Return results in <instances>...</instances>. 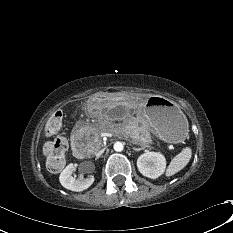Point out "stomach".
<instances>
[{"instance_id":"stomach-1","label":"stomach","mask_w":233,"mask_h":233,"mask_svg":"<svg viewBox=\"0 0 233 233\" xmlns=\"http://www.w3.org/2000/svg\"><path fill=\"white\" fill-rule=\"evenodd\" d=\"M137 97L125 93L116 96L102 95L91 97L88 102V113L91 117L113 120L128 118L139 107ZM142 120L148 125L149 131L168 143H179L186 137L188 121L178 105L163 97H150L141 113Z\"/></svg>"}]
</instances>
